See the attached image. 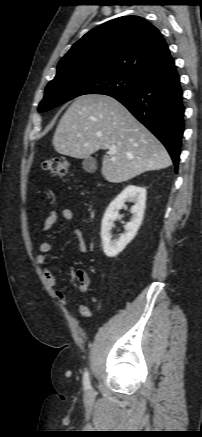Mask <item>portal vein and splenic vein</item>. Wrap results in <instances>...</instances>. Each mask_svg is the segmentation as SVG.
I'll return each instance as SVG.
<instances>
[{
    "label": "portal vein and splenic vein",
    "mask_w": 202,
    "mask_h": 437,
    "mask_svg": "<svg viewBox=\"0 0 202 437\" xmlns=\"http://www.w3.org/2000/svg\"><path fill=\"white\" fill-rule=\"evenodd\" d=\"M115 153H116L115 148H114V147H111V148L109 149V154L113 155V154H115Z\"/></svg>",
    "instance_id": "1"
}]
</instances>
